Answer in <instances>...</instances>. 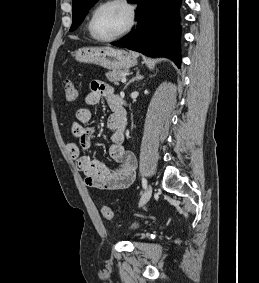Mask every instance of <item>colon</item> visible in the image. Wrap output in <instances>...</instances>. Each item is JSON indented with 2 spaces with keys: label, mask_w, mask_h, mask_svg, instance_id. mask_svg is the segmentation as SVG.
Wrapping results in <instances>:
<instances>
[{
  "label": "colon",
  "mask_w": 259,
  "mask_h": 283,
  "mask_svg": "<svg viewBox=\"0 0 259 283\" xmlns=\"http://www.w3.org/2000/svg\"><path fill=\"white\" fill-rule=\"evenodd\" d=\"M65 98L68 102H74L77 97V89L75 83L72 80H66L64 83ZM103 216L107 219H111L113 216L112 210L109 206L103 205L101 207Z\"/></svg>",
  "instance_id": "obj_1"
}]
</instances>
